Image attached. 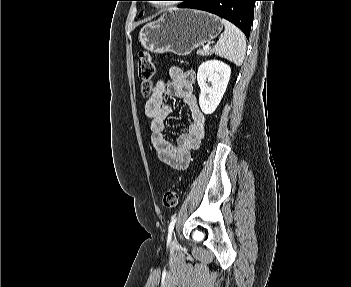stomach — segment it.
<instances>
[{
  "label": "stomach",
  "instance_id": "1",
  "mask_svg": "<svg viewBox=\"0 0 351 287\" xmlns=\"http://www.w3.org/2000/svg\"><path fill=\"white\" fill-rule=\"evenodd\" d=\"M222 29L220 18L213 14L176 9L144 25L139 32V41L144 49L153 53L171 52L185 56L217 37Z\"/></svg>",
  "mask_w": 351,
  "mask_h": 287
}]
</instances>
